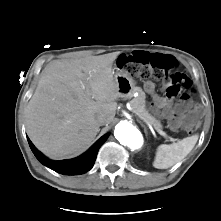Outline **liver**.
<instances>
[{"label": "liver", "mask_w": 221, "mask_h": 221, "mask_svg": "<svg viewBox=\"0 0 221 221\" xmlns=\"http://www.w3.org/2000/svg\"><path fill=\"white\" fill-rule=\"evenodd\" d=\"M119 52L55 61L43 71L26 108L27 133L54 159L85 150L99 132L97 116L110 124L121 97L113 62Z\"/></svg>", "instance_id": "6515ba94"}]
</instances>
